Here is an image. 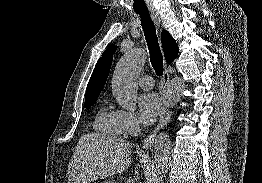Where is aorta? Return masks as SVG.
<instances>
[{"mask_svg": "<svg viewBox=\"0 0 262 183\" xmlns=\"http://www.w3.org/2000/svg\"><path fill=\"white\" fill-rule=\"evenodd\" d=\"M146 55L141 49H134L125 54L117 64L113 79L112 92L118 104L134 111L137 104V76L142 70ZM185 83L182 78L172 79L162 93V101L166 107L175 106L182 97ZM155 161L159 174L168 171L171 164V141L165 133H160L155 140Z\"/></svg>", "mask_w": 262, "mask_h": 183, "instance_id": "1", "label": "aorta"}]
</instances>
